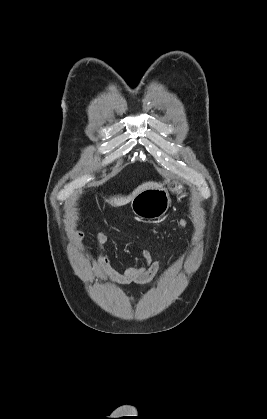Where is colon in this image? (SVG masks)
Segmentation results:
<instances>
[{
  "instance_id": "obj_1",
  "label": "colon",
  "mask_w": 267,
  "mask_h": 419,
  "mask_svg": "<svg viewBox=\"0 0 267 419\" xmlns=\"http://www.w3.org/2000/svg\"><path fill=\"white\" fill-rule=\"evenodd\" d=\"M187 224H188V222H187L186 220H183V221H182V225H183V226H187Z\"/></svg>"
}]
</instances>
